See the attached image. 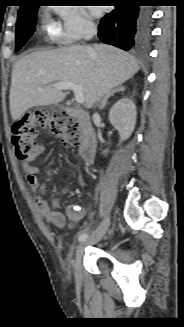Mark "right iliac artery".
<instances>
[{
	"instance_id": "obj_1",
	"label": "right iliac artery",
	"mask_w": 184,
	"mask_h": 327,
	"mask_svg": "<svg viewBox=\"0 0 184 327\" xmlns=\"http://www.w3.org/2000/svg\"><path fill=\"white\" fill-rule=\"evenodd\" d=\"M87 237H88V234L87 233L80 234V236H79V242L85 241L87 239Z\"/></svg>"
}]
</instances>
